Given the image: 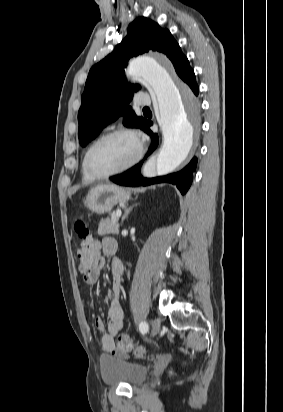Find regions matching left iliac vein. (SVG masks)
Returning a JSON list of instances; mask_svg holds the SVG:
<instances>
[{
    "label": "left iliac vein",
    "instance_id": "1",
    "mask_svg": "<svg viewBox=\"0 0 283 412\" xmlns=\"http://www.w3.org/2000/svg\"><path fill=\"white\" fill-rule=\"evenodd\" d=\"M161 327V323L159 319H154L152 323V329H151V336H155L159 333Z\"/></svg>",
    "mask_w": 283,
    "mask_h": 412
}]
</instances>
